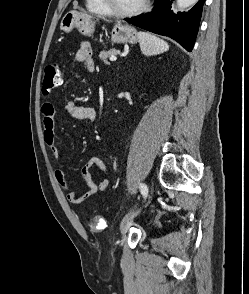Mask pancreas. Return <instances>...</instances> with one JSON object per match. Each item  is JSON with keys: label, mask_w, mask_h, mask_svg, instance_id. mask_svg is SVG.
<instances>
[{"label": "pancreas", "mask_w": 249, "mask_h": 294, "mask_svg": "<svg viewBox=\"0 0 249 294\" xmlns=\"http://www.w3.org/2000/svg\"><path fill=\"white\" fill-rule=\"evenodd\" d=\"M117 53V50L116 49H110L108 51H101L100 52V55H99V58L105 63V64H109L108 63V58L113 56V55H116Z\"/></svg>", "instance_id": "cf45deb5"}]
</instances>
